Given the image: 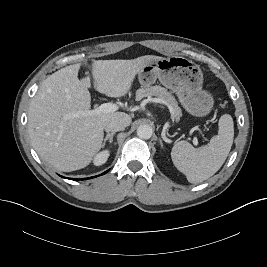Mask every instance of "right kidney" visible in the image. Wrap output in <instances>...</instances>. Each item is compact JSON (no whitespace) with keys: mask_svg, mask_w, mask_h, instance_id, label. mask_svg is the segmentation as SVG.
I'll return each instance as SVG.
<instances>
[{"mask_svg":"<svg viewBox=\"0 0 267 267\" xmlns=\"http://www.w3.org/2000/svg\"><path fill=\"white\" fill-rule=\"evenodd\" d=\"M110 156V151L109 150H105V151H102L100 153H98L95 157H94V165L96 166H100V165H103L108 157Z\"/></svg>","mask_w":267,"mask_h":267,"instance_id":"1","label":"right kidney"}]
</instances>
